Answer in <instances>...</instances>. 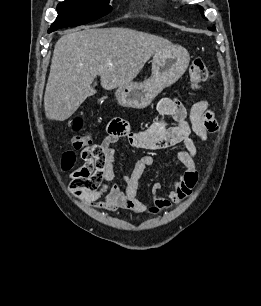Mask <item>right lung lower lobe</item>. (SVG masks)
Listing matches in <instances>:
<instances>
[{"instance_id":"1","label":"right lung lower lobe","mask_w":261,"mask_h":306,"mask_svg":"<svg viewBox=\"0 0 261 306\" xmlns=\"http://www.w3.org/2000/svg\"><path fill=\"white\" fill-rule=\"evenodd\" d=\"M58 28H49L48 29V33H51V32H53V31H55V30H57Z\"/></svg>"}]
</instances>
